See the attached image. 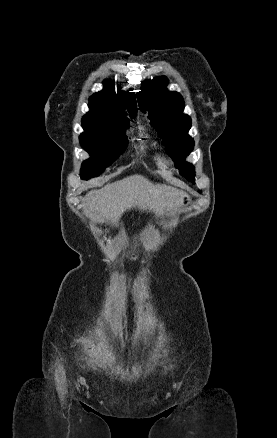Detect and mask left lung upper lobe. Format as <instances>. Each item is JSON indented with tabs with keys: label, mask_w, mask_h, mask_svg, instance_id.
<instances>
[{
	"label": "left lung upper lobe",
	"mask_w": 277,
	"mask_h": 438,
	"mask_svg": "<svg viewBox=\"0 0 277 438\" xmlns=\"http://www.w3.org/2000/svg\"><path fill=\"white\" fill-rule=\"evenodd\" d=\"M167 78L158 77L142 82V90L137 94L141 111H149L148 118L155 127L166 152L176 162L180 174L194 183V166L183 159L194 147L188 135L191 118L183 114L184 100L177 92L167 91Z\"/></svg>",
	"instance_id": "obj_1"
}]
</instances>
